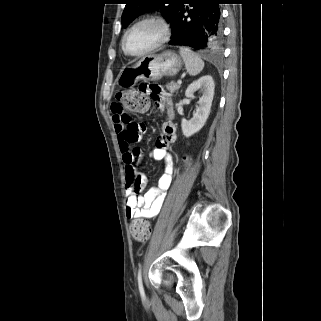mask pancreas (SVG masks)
<instances>
[{"label":"pancreas","instance_id":"cf45deb5","mask_svg":"<svg viewBox=\"0 0 321 321\" xmlns=\"http://www.w3.org/2000/svg\"><path fill=\"white\" fill-rule=\"evenodd\" d=\"M166 88L171 92L174 93L176 91H178V89L180 88V84L175 83V82H170L166 85Z\"/></svg>","mask_w":321,"mask_h":321}]
</instances>
